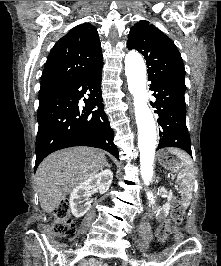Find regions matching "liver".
Segmentation results:
<instances>
[{
    "label": "liver",
    "instance_id": "liver-1",
    "mask_svg": "<svg viewBox=\"0 0 221 266\" xmlns=\"http://www.w3.org/2000/svg\"><path fill=\"white\" fill-rule=\"evenodd\" d=\"M106 163L104 152L91 147H72L46 157L35 178L42 210L52 213L75 186L97 174Z\"/></svg>",
    "mask_w": 221,
    "mask_h": 266
}]
</instances>
